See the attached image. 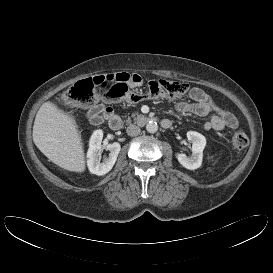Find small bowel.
I'll use <instances>...</instances> for the list:
<instances>
[{
  "mask_svg": "<svg viewBox=\"0 0 273 273\" xmlns=\"http://www.w3.org/2000/svg\"><path fill=\"white\" fill-rule=\"evenodd\" d=\"M140 81V80H139ZM138 81V82H139ZM189 101H180L176 104V110L187 115L206 116L203 128L206 131H221L225 128L236 129L238 121L228 110L219 106L210 95L200 88H192L188 93ZM111 109L104 105H96L87 111V118L92 124H99L111 113Z\"/></svg>",
  "mask_w": 273,
  "mask_h": 273,
  "instance_id": "small-bowel-1",
  "label": "small bowel"
}]
</instances>
